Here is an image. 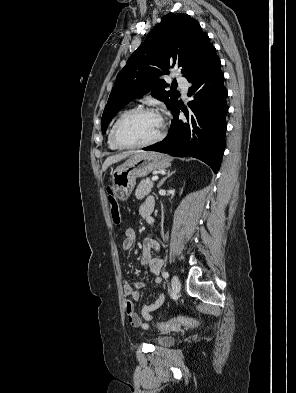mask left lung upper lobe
Returning a JSON list of instances; mask_svg holds the SVG:
<instances>
[{
	"mask_svg": "<svg viewBox=\"0 0 296 393\" xmlns=\"http://www.w3.org/2000/svg\"><path fill=\"white\" fill-rule=\"evenodd\" d=\"M214 49L195 19L187 14L165 15L117 75L103 112L102 133L116 112L151 90L152 96L162 100L173 112L179 93L165 91L168 84L159 77L177 65L188 79Z\"/></svg>",
	"mask_w": 296,
	"mask_h": 393,
	"instance_id": "left-lung-upper-lobe-1",
	"label": "left lung upper lobe"
}]
</instances>
